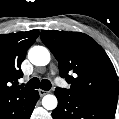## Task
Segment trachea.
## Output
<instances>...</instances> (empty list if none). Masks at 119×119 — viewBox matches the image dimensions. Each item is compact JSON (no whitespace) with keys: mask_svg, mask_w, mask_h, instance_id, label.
Listing matches in <instances>:
<instances>
[{"mask_svg":"<svg viewBox=\"0 0 119 119\" xmlns=\"http://www.w3.org/2000/svg\"><path fill=\"white\" fill-rule=\"evenodd\" d=\"M26 87L32 89L41 88L42 90L48 91L51 89V82L47 79L40 81L37 77H34L26 84Z\"/></svg>","mask_w":119,"mask_h":119,"instance_id":"3493384b","label":"trachea"}]
</instances>
